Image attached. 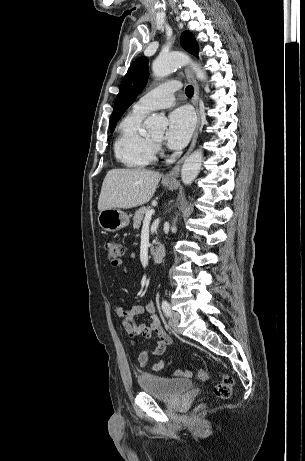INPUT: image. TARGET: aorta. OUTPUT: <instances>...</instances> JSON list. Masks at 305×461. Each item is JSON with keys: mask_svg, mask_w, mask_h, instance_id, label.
I'll list each match as a JSON object with an SVG mask.
<instances>
[{"mask_svg": "<svg viewBox=\"0 0 305 461\" xmlns=\"http://www.w3.org/2000/svg\"><path fill=\"white\" fill-rule=\"evenodd\" d=\"M190 64L197 79L205 81L206 73L201 67L193 62L188 56L180 52H171L169 54L160 55L152 64L153 75L156 78H163L169 75L173 70ZM145 125L148 132L152 135H162L167 126V119L159 115H150L145 120ZM203 153L201 150H196L190 154L181 169V179L185 185H189L197 177L201 168ZM175 222V221H174Z\"/></svg>", "mask_w": 305, "mask_h": 461, "instance_id": "1", "label": "aorta"}]
</instances>
